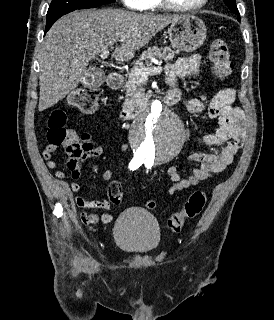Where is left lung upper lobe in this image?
I'll return each instance as SVG.
<instances>
[{"label": "left lung upper lobe", "mask_w": 274, "mask_h": 320, "mask_svg": "<svg viewBox=\"0 0 274 320\" xmlns=\"http://www.w3.org/2000/svg\"><path fill=\"white\" fill-rule=\"evenodd\" d=\"M227 7L235 14L239 15L235 0H223Z\"/></svg>", "instance_id": "left-lung-upper-lobe-1"}]
</instances>
